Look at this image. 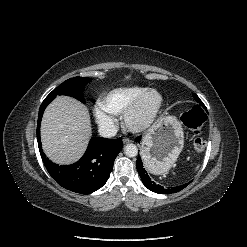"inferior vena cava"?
Here are the masks:
<instances>
[{
  "mask_svg": "<svg viewBox=\"0 0 247 247\" xmlns=\"http://www.w3.org/2000/svg\"><path fill=\"white\" fill-rule=\"evenodd\" d=\"M98 131L102 137L111 138L116 135L118 129L113 123H107L101 124Z\"/></svg>",
  "mask_w": 247,
  "mask_h": 247,
  "instance_id": "obj_1",
  "label": "inferior vena cava"
}]
</instances>
